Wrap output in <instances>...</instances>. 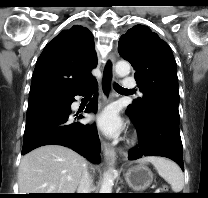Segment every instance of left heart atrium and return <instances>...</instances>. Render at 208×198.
<instances>
[{"mask_svg": "<svg viewBox=\"0 0 208 198\" xmlns=\"http://www.w3.org/2000/svg\"><path fill=\"white\" fill-rule=\"evenodd\" d=\"M96 120L99 128L109 136L117 135L122 128V121L112 107L106 108Z\"/></svg>", "mask_w": 208, "mask_h": 198, "instance_id": "left-heart-atrium-1", "label": "left heart atrium"}]
</instances>
